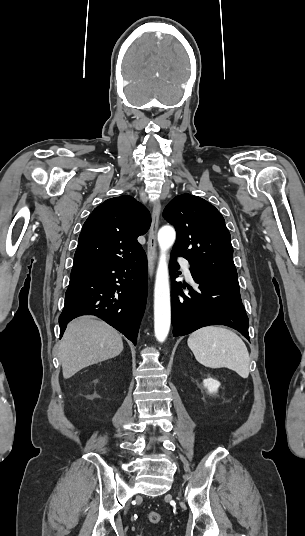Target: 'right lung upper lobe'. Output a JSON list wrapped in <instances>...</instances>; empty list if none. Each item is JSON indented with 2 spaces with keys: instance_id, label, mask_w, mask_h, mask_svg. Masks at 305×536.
<instances>
[{
  "instance_id": "cb5924a9",
  "label": "right lung upper lobe",
  "mask_w": 305,
  "mask_h": 536,
  "mask_svg": "<svg viewBox=\"0 0 305 536\" xmlns=\"http://www.w3.org/2000/svg\"><path fill=\"white\" fill-rule=\"evenodd\" d=\"M151 224L149 211L133 197L106 200L83 225L71 273L127 260L144 253L137 237Z\"/></svg>"
}]
</instances>
